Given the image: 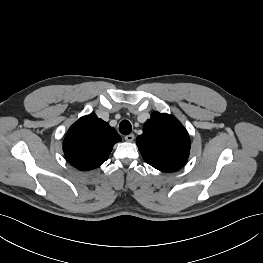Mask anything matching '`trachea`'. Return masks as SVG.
Masks as SVG:
<instances>
[{"instance_id": "1", "label": "trachea", "mask_w": 263, "mask_h": 263, "mask_svg": "<svg viewBox=\"0 0 263 263\" xmlns=\"http://www.w3.org/2000/svg\"><path fill=\"white\" fill-rule=\"evenodd\" d=\"M119 131L123 135H129L132 131V125L128 120H123L120 122Z\"/></svg>"}]
</instances>
